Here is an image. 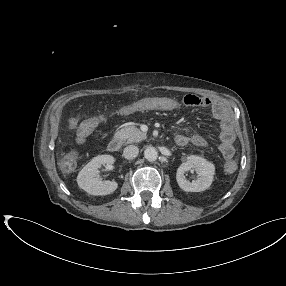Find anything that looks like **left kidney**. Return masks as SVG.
Here are the masks:
<instances>
[{
    "instance_id": "obj_1",
    "label": "left kidney",
    "mask_w": 286,
    "mask_h": 286,
    "mask_svg": "<svg viewBox=\"0 0 286 286\" xmlns=\"http://www.w3.org/2000/svg\"><path fill=\"white\" fill-rule=\"evenodd\" d=\"M191 169L198 174L197 179L192 182L185 177V173ZM214 173L215 167L211 162L200 156L191 155L178 167L176 180L180 188L186 192H201L210 187Z\"/></svg>"
}]
</instances>
